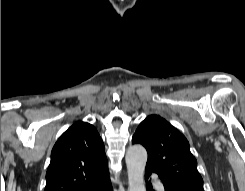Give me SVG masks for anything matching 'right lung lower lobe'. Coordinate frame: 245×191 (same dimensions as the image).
I'll return each mask as SVG.
<instances>
[{
  "mask_svg": "<svg viewBox=\"0 0 245 191\" xmlns=\"http://www.w3.org/2000/svg\"><path fill=\"white\" fill-rule=\"evenodd\" d=\"M80 191H113L110 178H106L103 181L94 182Z\"/></svg>",
  "mask_w": 245,
  "mask_h": 191,
  "instance_id": "right-lung-lower-lobe-1",
  "label": "right lung lower lobe"
}]
</instances>
